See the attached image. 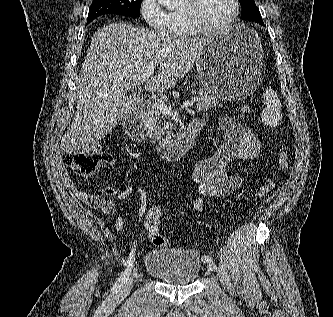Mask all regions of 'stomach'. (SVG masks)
Returning a JSON list of instances; mask_svg holds the SVG:
<instances>
[{"instance_id":"obj_1","label":"stomach","mask_w":333,"mask_h":317,"mask_svg":"<svg viewBox=\"0 0 333 317\" xmlns=\"http://www.w3.org/2000/svg\"><path fill=\"white\" fill-rule=\"evenodd\" d=\"M199 81L218 99L235 102L260 95L263 49L256 31L235 24L209 37L196 61Z\"/></svg>"}]
</instances>
